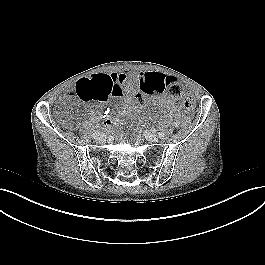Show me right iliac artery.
Listing matches in <instances>:
<instances>
[{
    "instance_id": "obj_1",
    "label": "right iliac artery",
    "mask_w": 265,
    "mask_h": 265,
    "mask_svg": "<svg viewBox=\"0 0 265 265\" xmlns=\"http://www.w3.org/2000/svg\"><path fill=\"white\" fill-rule=\"evenodd\" d=\"M99 134H100V131L97 130V131H95V132L92 134V137H93V138H97V137L99 136Z\"/></svg>"
}]
</instances>
